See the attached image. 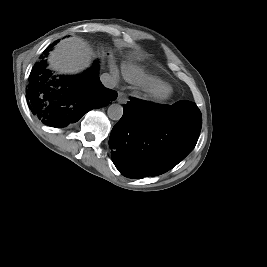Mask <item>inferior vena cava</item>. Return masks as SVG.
<instances>
[{"mask_svg":"<svg viewBox=\"0 0 267 267\" xmlns=\"http://www.w3.org/2000/svg\"><path fill=\"white\" fill-rule=\"evenodd\" d=\"M100 81L106 88L113 89L116 86V80L108 73H103L100 76Z\"/></svg>","mask_w":267,"mask_h":267,"instance_id":"1","label":"inferior vena cava"}]
</instances>
